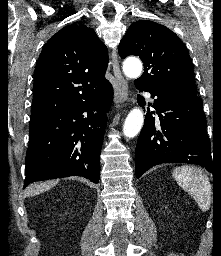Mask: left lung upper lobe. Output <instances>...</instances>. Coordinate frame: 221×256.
<instances>
[{"mask_svg":"<svg viewBox=\"0 0 221 256\" xmlns=\"http://www.w3.org/2000/svg\"><path fill=\"white\" fill-rule=\"evenodd\" d=\"M118 51L123 59L136 55L144 63V73L135 84L153 91L197 96L189 53L167 27L137 21L128 28Z\"/></svg>","mask_w":221,"mask_h":256,"instance_id":"5c2ea615","label":"left lung upper lobe"}]
</instances>
